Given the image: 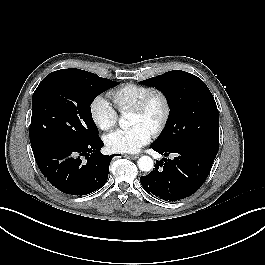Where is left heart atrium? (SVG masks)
I'll use <instances>...</instances> for the list:
<instances>
[{"label": "left heart atrium", "mask_w": 265, "mask_h": 265, "mask_svg": "<svg viewBox=\"0 0 265 265\" xmlns=\"http://www.w3.org/2000/svg\"><path fill=\"white\" fill-rule=\"evenodd\" d=\"M152 132L143 125H135L129 129H118L105 137V144L112 152L135 153L146 145Z\"/></svg>", "instance_id": "39dd6f15"}]
</instances>
